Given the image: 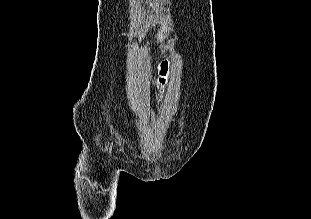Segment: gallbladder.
<instances>
[{"label": "gallbladder", "mask_w": 311, "mask_h": 219, "mask_svg": "<svg viewBox=\"0 0 311 219\" xmlns=\"http://www.w3.org/2000/svg\"><path fill=\"white\" fill-rule=\"evenodd\" d=\"M169 35V29L168 28H164L163 30H162V36L163 37H167Z\"/></svg>", "instance_id": "bac80fb5"}]
</instances>
